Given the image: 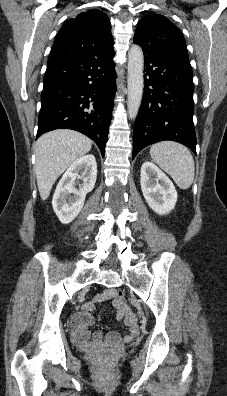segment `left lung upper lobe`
Returning a JSON list of instances; mask_svg holds the SVG:
<instances>
[{"label": "left lung upper lobe", "mask_w": 227, "mask_h": 396, "mask_svg": "<svg viewBox=\"0 0 227 396\" xmlns=\"http://www.w3.org/2000/svg\"><path fill=\"white\" fill-rule=\"evenodd\" d=\"M134 42L142 49L166 51L188 59L182 32L160 14L150 13L138 22Z\"/></svg>", "instance_id": "1"}]
</instances>
